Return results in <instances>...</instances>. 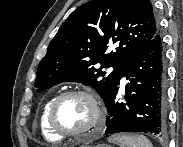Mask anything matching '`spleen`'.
<instances>
[{
	"label": "spleen",
	"mask_w": 183,
	"mask_h": 147,
	"mask_svg": "<svg viewBox=\"0 0 183 147\" xmlns=\"http://www.w3.org/2000/svg\"><path fill=\"white\" fill-rule=\"evenodd\" d=\"M108 141L119 147H152L151 142L139 134H116L110 136Z\"/></svg>",
	"instance_id": "1"
}]
</instances>
